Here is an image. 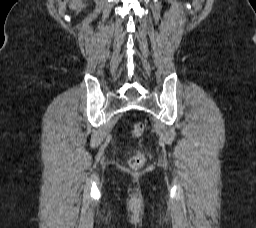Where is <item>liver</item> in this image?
Here are the masks:
<instances>
[{
  "instance_id": "liver-1",
  "label": "liver",
  "mask_w": 256,
  "mask_h": 228,
  "mask_svg": "<svg viewBox=\"0 0 256 228\" xmlns=\"http://www.w3.org/2000/svg\"><path fill=\"white\" fill-rule=\"evenodd\" d=\"M82 6V0H72L69 5V7L73 10L80 9Z\"/></svg>"
}]
</instances>
